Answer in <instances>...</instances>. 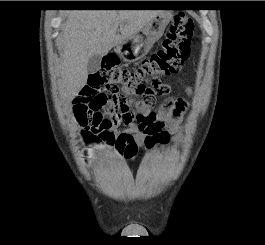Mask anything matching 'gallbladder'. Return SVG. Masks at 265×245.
Wrapping results in <instances>:
<instances>
[{
  "label": "gallbladder",
  "mask_w": 265,
  "mask_h": 245,
  "mask_svg": "<svg viewBox=\"0 0 265 245\" xmlns=\"http://www.w3.org/2000/svg\"><path fill=\"white\" fill-rule=\"evenodd\" d=\"M100 64H101V56L98 55V54L92 55L89 58L88 63H87V71H88V73L89 74L95 73L99 69Z\"/></svg>",
  "instance_id": "1"
}]
</instances>
